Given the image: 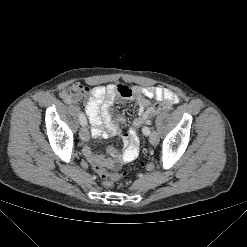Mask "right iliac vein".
Instances as JSON below:
<instances>
[{
    "label": "right iliac vein",
    "instance_id": "1",
    "mask_svg": "<svg viewBox=\"0 0 247 247\" xmlns=\"http://www.w3.org/2000/svg\"><path fill=\"white\" fill-rule=\"evenodd\" d=\"M79 136L82 141L89 140V130L86 125H83L82 128L80 129Z\"/></svg>",
    "mask_w": 247,
    "mask_h": 247
}]
</instances>
